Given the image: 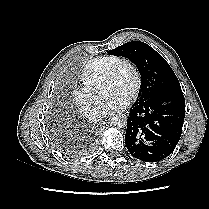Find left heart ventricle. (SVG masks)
Masks as SVG:
<instances>
[{
    "label": "left heart ventricle",
    "mask_w": 209,
    "mask_h": 209,
    "mask_svg": "<svg viewBox=\"0 0 209 209\" xmlns=\"http://www.w3.org/2000/svg\"><path fill=\"white\" fill-rule=\"evenodd\" d=\"M133 82L134 76L132 71L129 67L123 66L116 78L104 85L103 93L106 97H111L114 94H122L128 97Z\"/></svg>",
    "instance_id": "1"
}]
</instances>
